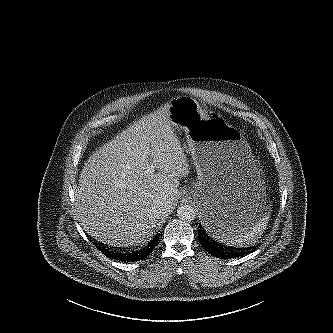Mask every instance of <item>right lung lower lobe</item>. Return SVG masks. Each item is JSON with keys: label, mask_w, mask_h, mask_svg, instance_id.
Listing matches in <instances>:
<instances>
[{"label": "right lung lower lobe", "mask_w": 333, "mask_h": 333, "mask_svg": "<svg viewBox=\"0 0 333 333\" xmlns=\"http://www.w3.org/2000/svg\"><path fill=\"white\" fill-rule=\"evenodd\" d=\"M159 236H155L148 245L143 248L142 250H139L138 252L134 254H119L113 251H109L108 249H105L103 247H100L99 250L107 257L113 258L119 261H139L142 259H145L153 250V248L158 243Z\"/></svg>", "instance_id": "1"}]
</instances>
